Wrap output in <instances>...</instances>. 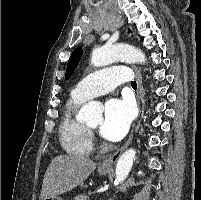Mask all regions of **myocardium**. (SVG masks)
Masks as SVG:
<instances>
[{
    "instance_id": "obj_1",
    "label": "myocardium",
    "mask_w": 201,
    "mask_h": 200,
    "mask_svg": "<svg viewBox=\"0 0 201 200\" xmlns=\"http://www.w3.org/2000/svg\"><path fill=\"white\" fill-rule=\"evenodd\" d=\"M87 128H88V130H89L90 133L94 131V128H91L89 126H87Z\"/></svg>"
}]
</instances>
